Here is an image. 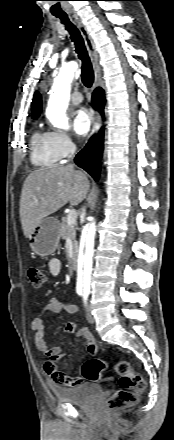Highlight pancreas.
Instances as JSON below:
<instances>
[{"instance_id":"pancreas-1","label":"pancreas","mask_w":174,"mask_h":440,"mask_svg":"<svg viewBox=\"0 0 174 440\" xmlns=\"http://www.w3.org/2000/svg\"><path fill=\"white\" fill-rule=\"evenodd\" d=\"M76 229H77V223L75 222L73 224H68L66 217H63L61 223H59L60 237L64 240L70 239L72 241L74 249L77 247Z\"/></svg>"}]
</instances>
